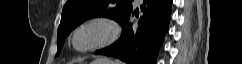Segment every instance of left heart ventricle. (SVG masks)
Instances as JSON below:
<instances>
[{
  "label": "left heart ventricle",
  "mask_w": 242,
  "mask_h": 64,
  "mask_svg": "<svg viewBox=\"0 0 242 64\" xmlns=\"http://www.w3.org/2000/svg\"><path fill=\"white\" fill-rule=\"evenodd\" d=\"M102 31L99 29H89L84 31L78 38H77V45L84 46L88 43L94 41L101 35Z\"/></svg>",
  "instance_id": "b2bd125f"
}]
</instances>
